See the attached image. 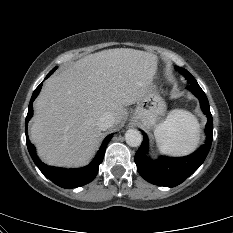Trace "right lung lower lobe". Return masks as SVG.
Here are the masks:
<instances>
[{"mask_svg":"<svg viewBox=\"0 0 233 233\" xmlns=\"http://www.w3.org/2000/svg\"><path fill=\"white\" fill-rule=\"evenodd\" d=\"M53 72L54 71L52 70L46 76V78H48ZM41 87H42V84H40L33 92V95L31 97V100L29 103V110H28V114L26 117V124L33 115L32 103H33L34 99L38 96V94L41 90ZM26 130H27V127H26ZM112 135L113 134H110L104 139V141H103L97 155L93 159V161L89 165L82 167V168H79V169L55 168L52 166H47L44 163H41L40 160L37 159L34 146L30 143V141L28 139L27 132H26V144H27L28 151H29L34 163L40 169V171L56 185H58L62 188L69 189V188H76V187H80V186H83L85 184H88L96 177V175L98 173L99 165L101 164V162L104 158L106 146L109 143L110 139L112 138Z\"/></svg>","mask_w":233,"mask_h":233,"instance_id":"obj_1","label":"right lung lower lobe"}]
</instances>
